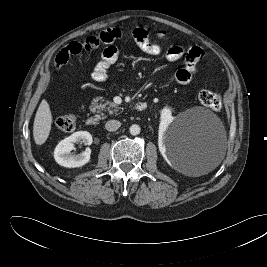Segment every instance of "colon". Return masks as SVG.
Instances as JSON below:
<instances>
[{"instance_id":"1","label":"colon","mask_w":267,"mask_h":267,"mask_svg":"<svg viewBox=\"0 0 267 267\" xmlns=\"http://www.w3.org/2000/svg\"><path fill=\"white\" fill-rule=\"evenodd\" d=\"M158 38L163 39L164 33H159ZM198 99L202 105L212 110H219L222 106V99L220 94L210 90L201 91L198 95ZM56 125L62 131H73L76 127V118L71 114L60 116L56 120Z\"/></svg>"}]
</instances>
